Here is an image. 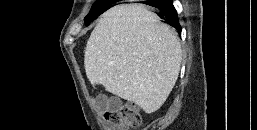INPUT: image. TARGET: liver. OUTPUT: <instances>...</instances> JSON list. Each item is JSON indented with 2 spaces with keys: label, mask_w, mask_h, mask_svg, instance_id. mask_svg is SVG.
<instances>
[{
  "label": "liver",
  "mask_w": 257,
  "mask_h": 130,
  "mask_svg": "<svg viewBox=\"0 0 257 130\" xmlns=\"http://www.w3.org/2000/svg\"><path fill=\"white\" fill-rule=\"evenodd\" d=\"M182 49L177 33L142 4H122L102 15L87 41L84 66L90 82L157 111L179 76Z\"/></svg>",
  "instance_id": "6515ba94"
}]
</instances>
